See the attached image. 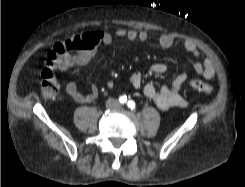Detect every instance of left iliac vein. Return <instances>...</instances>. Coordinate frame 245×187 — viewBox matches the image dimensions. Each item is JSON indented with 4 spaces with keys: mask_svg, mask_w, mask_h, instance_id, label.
Instances as JSON below:
<instances>
[{
    "mask_svg": "<svg viewBox=\"0 0 245 187\" xmlns=\"http://www.w3.org/2000/svg\"><path fill=\"white\" fill-rule=\"evenodd\" d=\"M121 107H122L121 105H118V106H117L118 109H121Z\"/></svg>",
    "mask_w": 245,
    "mask_h": 187,
    "instance_id": "obj_1",
    "label": "left iliac vein"
}]
</instances>
